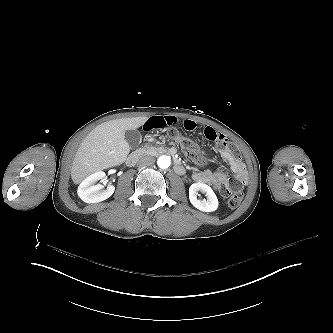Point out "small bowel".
Instances as JSON below:
<instances>
[{"label":"small bowel","mask_w":333,"mask_h":333,"mask_svg":"<svg viewBox=\"0 0 333 333\" xmlns=\"http://www.w3.org/2000/svg\"><path fill=\"white\" fill-rule=\"evenodd\" d=\"M176 124H181L188 131H194L197 128L196 121L189 118L180 119L177 117H152L145 122L143 129L148 131L154 128H164ZM204 136L209 142H221L220 154L230 165L233 172V179L241 186L247 185L248 176L245 164L239 157L238 153L229 145L227 140L224 138V135L211 127H207L204 129ZM193 179L200 183H209L216 190H219L229 181L227 174L221 170L196 172L193 174Z\"/></svg>","instance_id":"c3829d8e"}]
</instances>
